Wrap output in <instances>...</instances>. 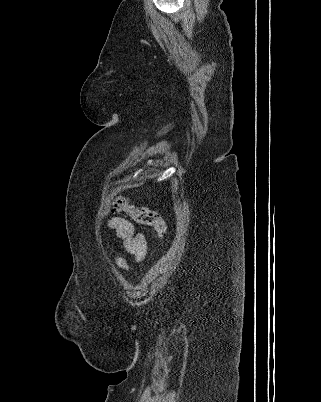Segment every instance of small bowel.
I'll use <instances>...</instances> for the list:
<instances>
[{
	"label": "small bowel",
	"mask_w": 321,
	"mask_h": 402,
	"mask_svg": "<svg viewBox=\"0 0 321 402\" xmlns=\"http://www.w3.org/2000/svg\"><path fill=\"white\" fill-rule=\"evenodd\" d=\"M109 226L123 239L129 255L134 256L138 261L144 259L147 252V241L144 235L136 234L133 225L122 217H113L109 221ZM115 262L121 269L128 270L130 268L126 260L121 257H116Z\"/></svg>",
	"instance_id": "c3829d8e"
}]
</instances>
